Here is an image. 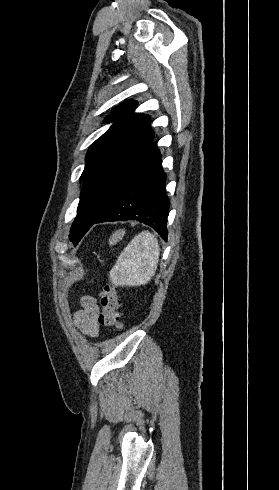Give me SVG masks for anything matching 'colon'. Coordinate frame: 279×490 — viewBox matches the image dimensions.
Returning <instances> with one entry per match:
<instances>
[{
  "label": "colon",
  "instance_id": "5ec220e1",
  "mask_svg": "<svg viewBox=\"0 0 279 490\" xmlns=\"http://www.w3.org/2000/svg\"><path fill=\"white\" fill-rule=\"evenodd\" d=\"M100 298L99 323L107 327L121 328L123 326V319L120 313L121 299L114 286L111 284L104 286Z\"/></svg>",
  "mask_w": 279,
  "mask_h": 490
}]
</instances>
